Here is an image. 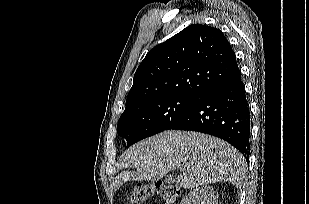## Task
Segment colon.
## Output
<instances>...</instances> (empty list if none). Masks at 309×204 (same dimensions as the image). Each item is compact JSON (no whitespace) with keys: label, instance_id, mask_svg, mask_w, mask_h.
I'll return each mask as SVG.
<instances>
[{"label":"colon","instance_id":"5ec220e1","mask_svg":"<svg viewBox=\"0 0 309 204\" xmlns=\"http://www.w3.org/2000/svg\"><path fill=\"white\" fill-rule=\"evenodd\" d=\"M180 191L177 187L161 181L134 186L128 195L130 204H143L153 196H159L166 204H174Z\"/></svg>","mask_w":309,"mask_h":204}]
</instances>
